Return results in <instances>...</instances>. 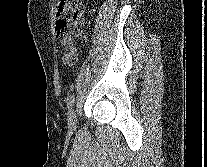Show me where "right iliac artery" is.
<instances>
[{"label":"right iliac artery","mask_w":207,"mask_h":167,"mask_svg":"<svg viewBox=\"0 0 207 167\" xmlns=\"http://www.w3.org/2000/svg\"><path fill=\"white\" fill-rule=\"evenodd\" d=\"M74 103V95H70L68 98V109L69 111L72 109Z\"/></svg>","instance_id":"1"}]
</instances>
